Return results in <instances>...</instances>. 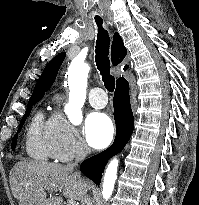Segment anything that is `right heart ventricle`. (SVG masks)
I'll return each mask as SVG.
<instances>
[{"mask_svg":"<svg viewBox=\"0 0 199 205\" xmlns=\"http://www.w3.org/2000/svg\"><path fill=\"white\" fill-rule=\"evenodd\" d=\"M25 149L31 158L39 161H47L52 157L49 122L44 120L41 112L32 119L26 135Z\"/></svg>","mask_w":199,"mask_h":205,"instance_id":"right-heart-ventricle-1","label":"right heart ventricle"}]
</instances>
